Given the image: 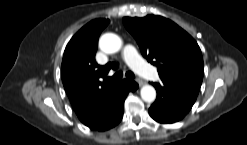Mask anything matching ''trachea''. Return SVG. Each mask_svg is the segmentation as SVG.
Segmentation results:
<instances>
[{
    "label": "trachea",
    "mask_w": 247,
    "mask_h": 145,
    "mask_svg": "<svg viewBox=\"0 0 247 145\" xmlns=\"http://www.w3.org/2000/svg\"><path fill=\"white\" fill-rule=\"evenodd\" d=\"M122 76H123V73L121 71H119V72H116L112 77H107L105 79L108 81H112V82L113 81H119V80H121ZM126 77L128 79H134L135 75L133 72L128 71V72H126Z\"/></svg>",
    "instance_id": "1"
}]
</instances>
